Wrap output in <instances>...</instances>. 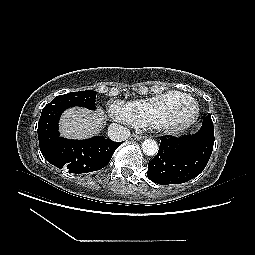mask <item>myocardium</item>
Segmentation results:
<instances>
[{
  "instance_id": "obj_1",
  "label": "myocardium",
  "mask_w": 255,
  "mask_h": 255,
  "mask_svg": "<svg viewBox=\"0 0 255 255\" xmlns=\"http://www.w3.org/2000/svg\"><path fill=\"white\" fill-rule=\"evenodd\" d=\"M177 107L187 111V116L184 119L178 120L171 117ZM198 115L199 106L193 98L188 101H173L157 114L149 126L164 134H178L188 129L197 120Z\"/></svg>"
}]
</instances>
